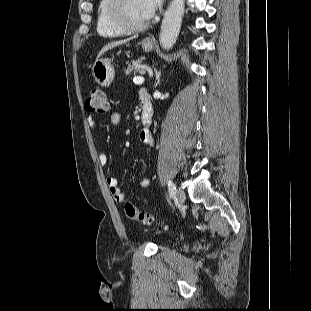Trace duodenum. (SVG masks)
Here are the masks:
<instances>
[{"label": "duodenum", "instance_id": "1", "mask_svg": "<svg viewBox=\"0 0 311 311\" xmlns=\"http://www.w3.org/2000/svg\"><path fill=\"white\" fill-rule=\"evenodd\" d=\"M142 122L144 125L149 126L152 122V103L150 98L142 99Z\"/></svg>", "mask_w": 311, "mask_h": 311}]
</instances>
